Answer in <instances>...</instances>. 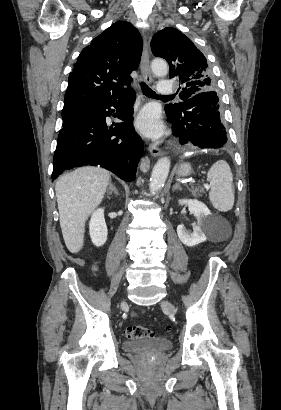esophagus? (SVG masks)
I'll list each match as a JSON object with an SVG mask.
<instances>
[{"label": "esophagus", "mask_w": 281, "mask_h": 410, "mask_svg": "<svg viewBox=\"0 0 281 410\" xmlns=\"http://www.w3.org/2000/svg\"><path fill=\"white\" fill-rule=\"evenodd\" d=\"M140 70H141V76H142L143 81L145 83H151L152 75H151L150 66H149L148 42H147V38L145 35H144V45H143L142 57H141V62H140ZM149 152L151 153L152 156L157 157L161 154V149L156 144H152L149 147Z\"/></svg>", "instance_id": "esophagus-1"}]
</instances>
